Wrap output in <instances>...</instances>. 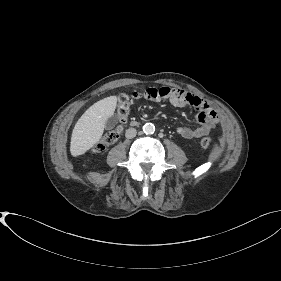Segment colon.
I'll use <instances>...</instances> for the list:
<instances>
[{"mask_svg":"<svg viewBox=\"0 0 281 281\" xmlns=\"http://www.w3.org/2000/svg\"><path fill=\"white\" fill-rule=\"evenodd\" d=\"M132 105V99L127 94H122L118 98L117 103V113L120 125H118L115 129L107 132L102 139L96 143L92 147V151L95 153H100L103 150H105L107 147L113 145L117 142V140L120 138L122 133V125L127 121L128 115L130 113V108ZM199 145L201 148H209L213 145V141L210 138L203 137L199 141Z\"/></svg>","mask_w":281,"mask_h":281,"instance_id":"5ec220e1","label":"colon"}]
</instances>
